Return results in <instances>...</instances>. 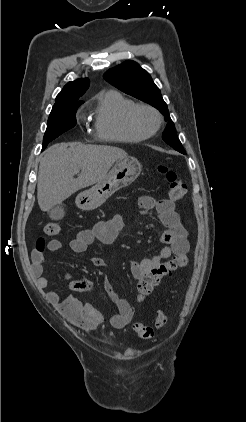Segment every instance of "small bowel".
<instances>
[{
    "label": "small bowel",
    "mask_w": 246,
    "mask_h": 422,
    "mask_svg": "<svg viewBox=\"0 0 246 422\" xmlns=\"http://www.w3.org/2000/svg\"><path fill=\"white\" fill-rule=\"evenodd\" d=\"M139 208L142 214L151 209H156L161 223L166 230L161 236V242L165 244L163 248L154 256L141 261H132L130 270L133 277L139 280L146 272L160 265L170 257L187 255L189 241L187 231L181 223L180 217L175 210L172 200L155 198L145 195L139 199ZM124 220L120 215H116L109 220L100 221L92 228L79 231L70 241V248L74 253L84 252L89 245L95 241L109 244L114 241L118 232L123 228ZM62 244L57 239L48 242L50 251H58ZM32 271L37 277V284L40 288L46 289L49 286L48 279L43 276L45 256L43 251L34 250L31 254ZM91 263L95 267H103L104 260L100 257H93ZM65 279L70 281L67 286L68 291H89L94 285L88 281H73L71 274H66ZM103 289L109 299L117 307V312L110 316V324L117 329H121L130 323L134 314V309L130 303L122 298L115 287L108 281H103ZM60 290H49L46 293L48 300L55 305L62 314L75 326L89 331L103 323L104 317L100 311L87 303H81L73 295H68L64 299L60 298Z\"/></svg>",
    "instance_id": "small-bowel-1"
}]
</instances>
